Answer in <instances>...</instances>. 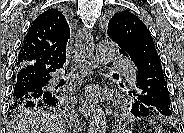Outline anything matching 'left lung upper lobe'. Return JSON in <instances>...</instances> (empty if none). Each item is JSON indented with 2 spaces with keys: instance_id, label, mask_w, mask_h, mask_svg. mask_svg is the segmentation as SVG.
Masks as SVG:
<instances>
[{
  "instance_id": "obj_1",
  "label": "left lung upper lobe",
  "mask_w": 184,
  "mask_h": 133,
  "mask_svg": "<svg viewBox=\"0 0 184 133\" xmlns=\"http://www.w3.org/2000/svg\"><path fill=\"white\" fill-rule=\"evenodd\" d=\"M107 33L119 45L120 54L130 58L135 65L143 56L160 61L148 28L130 11L113 14L108 22ZM132 102L131 97L129 105Z\"/></svg>"
}]
</instances>
